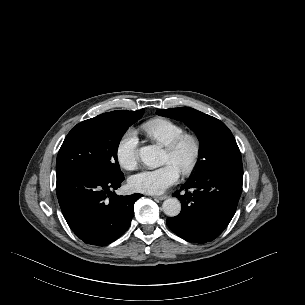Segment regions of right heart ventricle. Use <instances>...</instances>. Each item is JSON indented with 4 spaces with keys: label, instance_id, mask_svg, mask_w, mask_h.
Here are the masks:
<instances>
[{
    "label": "right heart ventricle",
    "instance_id": "e07e8e85",
    "mask_svg": "<svg viewBox=\"0 0 305 305\" xmlns=\"http://www.w3.org/2000/svg\"><path fill=\"white\" fill-rule=\"evenodd\" d=\"M141 129L150 139L164 146L186 133L180 124L162 118L144 123Z\"/></svg>",
    "mask_w": 305,
    "mask_h": 305
}]
</instances>
